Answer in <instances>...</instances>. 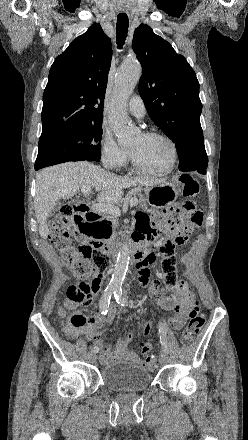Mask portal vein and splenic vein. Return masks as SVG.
I'll use <instances>...</instances> for the list:
<instances>
[{
  "label": "portal vein and splenic vein",
  "mask_w": 248,
  "mask_h": 440,
  "mask_svg": "<svg viewBox=\"0 0 248 440\" xmlns=\"http://www.w3.org/2000/svg\"><path fill=\"white\" fill-rule=\"evenodd\" d=\"M90 191H91L90 187H84L81 189V192L84 193L85 196L89 195ZM137 204H138V199L136 198L130 199V207H134ZM93 209L99 212L108 213L113 216H120L121 214L120 209L110 203H103V202L96 203L93 205Z\"/></svg>",
  "instance_id": "1"
}]
</instances>
